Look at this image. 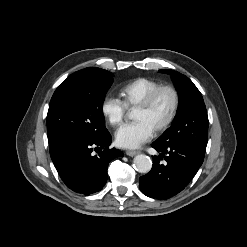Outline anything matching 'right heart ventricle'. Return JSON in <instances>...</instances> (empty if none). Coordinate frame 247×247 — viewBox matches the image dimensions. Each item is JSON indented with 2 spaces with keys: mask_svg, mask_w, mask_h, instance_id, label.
I'll return each instance as SVG.
<instances>
[{
  "mask_svg": "<svg viewBox=\"0 0 247 247\" xmlns=\"http://www.w3.org/2000/svg\"><path fill=\"white\" fill-rule=\"evenodd\" d=\"M160 83L156 80L139 77L126 83L120 90L122 102L126 107L137 106Z\"/></svg>",
  "mask_w": 247,
  "mask_h": 247,
  "instance_id": "obj_1",
  "label": "right heart ventricle"
}]
</instances>
